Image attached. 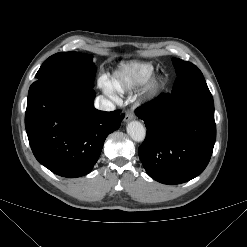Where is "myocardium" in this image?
<instances>
[{
	"mask_svg": "<svg viewBox=\"0 0 247 247\" xmlns=\"http://www.w3.org/2000/svg\"><path fill=\"white\" fill-rule=\"evenodd\" d=\"M161 87V81L158 79H154L149 86L146 88L145 97L150 98L154 96Z\"/></svg>",
	"mask_w": 247,
	"mask_h": 247,
	"instance_id": "obj_1",
	"label": "myocardium"
}]
</instances>
